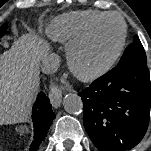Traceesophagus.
<instances>
[{"label":"esophagus","instance_id":"34e87169","mask_svg":"<svg viewBox=\"0 0 151 151\" xmlns=\"http://www.w3.org/2000/svg\"><path fill=\"white\" fill-rule=\"evenodd\" d=\"M49 98L53 107L58 108L61 105L62 92L58 87L53 86L49 90Z\"/></svg>","mask_w":151,"mask_h":151}]
</instances>
